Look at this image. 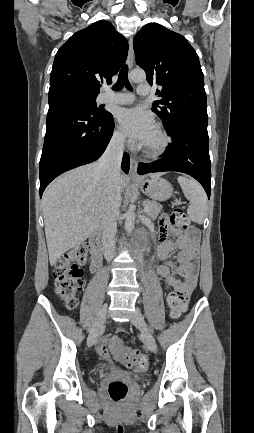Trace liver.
<instances>
[{"label":"liver","instance_id":"6515ba94","mask_svg":"<svg viewBox=\"0 0 254 433\" xmlns=\"http://www.w3.org/2000/svg\"><path fill=\"white\" fill-rule=\"evenodd\" d=\"M161 174H151L159 177ZM128 182L120 173L121 191ZM109 185L98 162L78 167L56 179L42 198L49 261L53 266L69 249L84 242L100 226Z\"/></svg>","mask_w":254,"mask_h":433}]
</instances>
